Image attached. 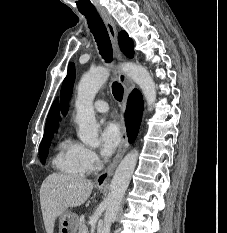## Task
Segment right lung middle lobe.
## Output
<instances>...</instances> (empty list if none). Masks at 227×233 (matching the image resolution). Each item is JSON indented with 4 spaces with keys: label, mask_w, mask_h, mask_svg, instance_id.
<instances>
[{
    "label": "right lung middle lobe",
    "mask_w": 227,
    "mask_h": 233,
    "mask_svg": "<svg viewBox=\"0 0 227 233\" xmlns=\"http://www.w3.org/2000/svg\"><path fill=\"white\" fill-rule=\"evenodd\" d=\"M50 142L51 141H48V142H44L40 145V161L42 164L45 163L46 161V157L48 155V148L50 146Z\"/></svg>",
    "instance_id": "1"
}]
</instances>
